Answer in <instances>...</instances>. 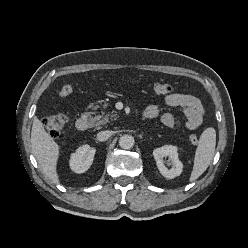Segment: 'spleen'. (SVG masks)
Segmentation results:
<instances>
[{
    "instance_id": "spleen-1",
    "label": "spleen",
    "mask_w": 248,
    "mask_h": 248,
    "mask_svg": "<svg viewBox=\"0 0 248 248\" xmlns=\"http://www.w3.org/2000/svg\"><path fill=\"white\" fill-rule=\"evenodd\" d=\"M216 146V131L214 128L206 129L200 136L197 149L195 151L193 170L190 182L198 179L210 165Z\"/></svg>"
}]
</instances>
